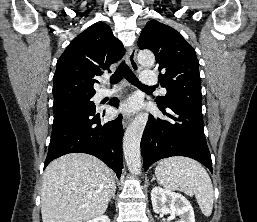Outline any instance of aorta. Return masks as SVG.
Here are the masks:
<instances>
[{"label": "aorta", "mask_w": 257, "mask_h": 222, "mask_svg": "<svg viewBox=\"0 0 257 222\" xmlns=\"http://www.w3.org/2000/svg\"><path fill=\"white\" fill-rule=\"evenodd\" d=\"M138 61L144 67H152L155 63V57L151 51L144 50L138 53ZM146 122V114H138L126 129L123 139L125 161L129 172L135 175L141 171L140 142Z\"/></svg>", "instance_id": "obj_1"}]
</instances>
